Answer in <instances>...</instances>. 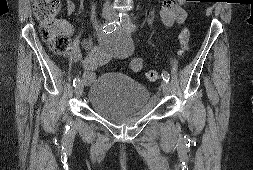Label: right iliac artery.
I'll list each match as a JSON object with an SVG mask.
<instances>
[{"label": "right iliac artery", "instance_id": "obj_1", "mask_svg": "<svg viewBox=\"0 0 253 170\" xmlns=\"http://www.w3.org/2000/svg\"><path fill=\"white\" fill-rule=\"evenodd\" d=\"M118 25H119V21L118 20L111 21L108 24H106V25L103 26V28L101 29V33L102 34L112 33L113 31L116 30V28H117ZM79 82H80V79L78 77L75 78L73 80V86L76 87Z\"/></svg>", "mask_w": 253, "mask_h": 170}]
</instances>
